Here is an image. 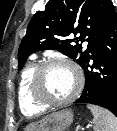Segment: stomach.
<instances>
[{"label": "stomach", "mask_w": 117, "mask_h": 131, "mask_svg": "<svg viewBox=\"0 0 117 131\" xmlns=\"http://www.w3.org/2000/svg\"><path fill=\"white\" fill-rule=\"evenodd\" d=\"M73 122V112L63 109L54 112L37 122L28 124L23 131H65Z\"/></svg>", "instance_id": "stomach-1"}]
</instances>
